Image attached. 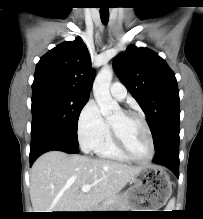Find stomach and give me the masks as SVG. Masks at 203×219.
Returning <instances> with one entry per match:
<instances>
[{
	"label": "stomach",
	"instance_id": "obj_1",
	"mask_svg": "<svg viewBox=\"0 0 203 219\" xmlns=\"http://www.w3.org/2000/svg\"><path fill=\"white\" fill-rule=\"evenodd\" d=\"M171 193L172 186L167 172L160 166H145L132 178L126 203L128 208L159 209Z\"/></svg>",
	"mask_w": 203,
	"mask_h": 219
}]
</instances>
